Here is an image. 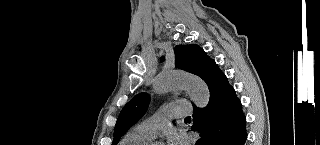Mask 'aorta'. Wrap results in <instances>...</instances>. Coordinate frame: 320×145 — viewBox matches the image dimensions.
<instances>
[{"label": "aorta", "mask_w": 320, "mask_h": 145, "mask_svg": "<svg viewBox=\"0 0 320 145\" xmlns=\"http://www.w3.org/2000/svg\"><path fill=\"white\" fill-rule=\"evenodd\" d=\"M153 86L157 93L185 88L191 100L200 108L207 106L210 98L209 89L201 78L183 72H161L154 79Z\"/></svg>", "instance_id": "762f6f07"}]
</instances>
